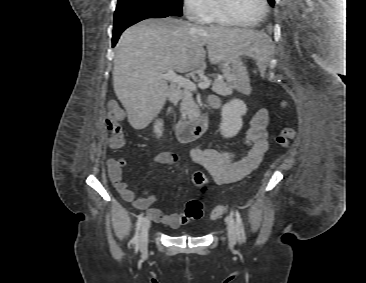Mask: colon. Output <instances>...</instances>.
Masks as SVG:
<instances>
[{
    "mask_svg": "<svg viewBox=\"0 0 366 283\" xmlns=\"http://www.w3.org/2000/svg\"><path fill=\"white\" fill-rule=\"evenodd\" d=\"M123 119V110L115 102L108 107L106 114V125L109 131V146L111 148H122L125 145V137L121 127ZM296 135L293 127H284L277 136V143L284 148L290 145V142ZM192 183L200 189H205L207 184V177L202 172H195L192 176ZM225 212V207L222 205L216 206L210 213V218L216 220L220 218ZM203 216V205L198 200H191L187 203L184 211L185 220H198Z\"/></svg>",
    "mask_w": 366,
    "mask_h": 283,
    "instance_id": "obj_1",
    "label": "colon"
}]
</instances>
